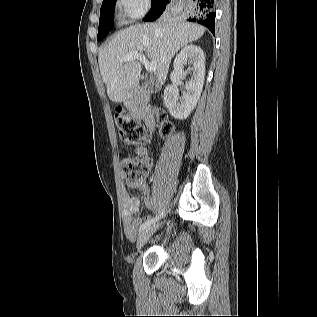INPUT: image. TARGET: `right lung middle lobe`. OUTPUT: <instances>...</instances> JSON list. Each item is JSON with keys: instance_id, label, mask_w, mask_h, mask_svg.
<instances>
[{"instance_id": "1", "label": "right lung middle lobe", "mask_w": 317, "mask_h": 317, "mask_svg": "<svg viewBox=\"0 0 317 317\" xmlns=\"http://www.w3.org/2000/svg\"><path fill=\"white\" fill-rule=\"evenodd\" d=\"M160 1L161 0H152V7ZM115 3H116V0H103L102 6L100 9L99 29H98V36H97L98 40L103 39L108 34V32L110 31L112 27Z\"/></svg>"}]
</instances>
